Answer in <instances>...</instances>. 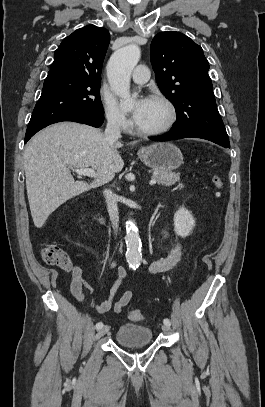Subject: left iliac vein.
Segmentation results:
<instances>
[{
	"label": "left iliac vein",
	"instance_id": "4c4485c4",
	"mask_svg": "<svg viewBox=\"0 0 265 407\" xmlns=\"http://www.w3.org/2000/svg\"><path fill=\"white\" fill-rule=\"evenodd\" d=\"M162 330L164 332H169L170 331V325H167V324L162 325Z\"/></svg>",
	"mask_w": 265,
	"mask_h": 407
}]
</instances>
